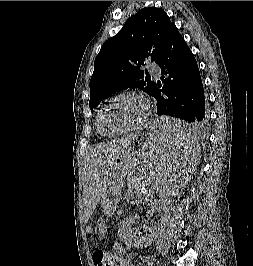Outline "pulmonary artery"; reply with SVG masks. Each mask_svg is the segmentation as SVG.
Returning <instances> with one entry per match:
<instances>
[{
	"label": "pulmonary artery",
	"mask_w": 253,
	"mask_h": 266,
	"mask_svg": "<svg viewBox=\"0 0 253 266\" xmlns=\"http://www.w3.org/2000/svg\"><path fill=\"white\" fill-rule=\"evenodd\" d=\"M148 70H149V72L152 73V75L155 76V77L159 76V74H160V68L157 67V66L152 65V66H150V67L148 68Z\"/></svg>",
	"instance_id": "pulmonary-artery-1"
}]
</instances>
